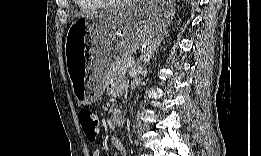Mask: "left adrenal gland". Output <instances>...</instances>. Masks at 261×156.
<instances>
[{
  "instance_id": "obj_1",
  "label": "left adrenal gland",
  "mask_w": 261,
  "mask_h": 156,
  "mask_svg": "<svg viewBox=\"0 0 261 156\" xmlns=\"http://www.w3.org/2000/svg\"><path fill=\"white\" fill-rule=\"evenodd\" d=\"M163 40L164 36H158L156 39L152 41L151 45L145 50V52L141 56V61H143L144 64H148L150 62L153 54L158 50Z\"/></svg>"
}]
</instances>
